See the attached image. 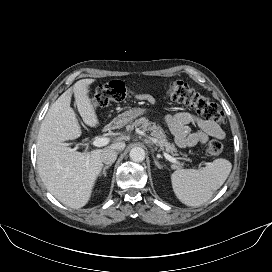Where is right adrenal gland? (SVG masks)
<instances>
[{
    "mask_svg": "<svg viewBox=\"0 0 272 272\" xmlns=\"http://www.w3.org/2000/svg\"><path fill=\"white\" fill-rule=\"evenodd\" d=\"M109 167H111V164L106 165V166L103 168V170H102L100 176L103 175L104 177H106V170H107Z\"/></svg>",
    "mask_w": 272,
    "mask_h": 272,
    "instance_id": "1",
    "label": "right adrenal gland"
}]
</instances>
